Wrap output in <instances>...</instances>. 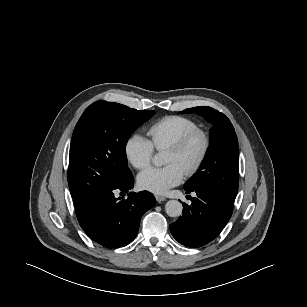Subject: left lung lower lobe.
Returning <instances> with one entry per match:
<instances>
[{"instance_id":"obj_1","label":"left lung lower lobe","mask_w":307,"mask_h":307,"mask_svg":"<svg viewBox=\"0 0 307 307\" xmlns=\"http://www.w3.org/2000/svg\"><path fill=\"white\" fill-rule=\"evenodd\" d=\"M195 192L192 204L183 203V214L170 225L173 237L186 247H200L222 231L229 221L234 204L208 189H185Z\"/></svg>"}]
</instances>
